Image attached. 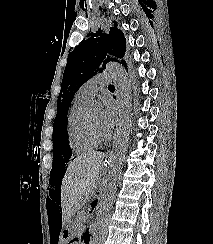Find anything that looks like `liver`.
Segmentation results:
<instances>
[{"instance_id":"6515ba94","label":"liver","mask_w":213,"mask_h":244,"mask_svg":"<svg viewBox=\"0 0 213 244\" xmlns=\"http://www.w3.org/2000/svg\"><path fill=\"white\" fill-rule=\"evenodd\" d=\"M100 152L81 154L70 162L61 185L62 221L68 223L93 193L102 168Z\"/></svg>"}]
</instances>
